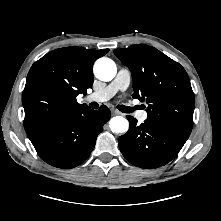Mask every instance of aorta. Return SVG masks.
I'll return each mask as SVG.
<instances>
[{"label": "aorta", "instance_id": "obj_1", "mask_svg": "<svg viewBox=\"0 0 221 221\" xmlns=\"http://www.w3.org/2000/svg\"><path fill=\"white\" fill-rule=\"evenodd\" d=\"M117 73L116 64L109 58H100L94 64V74L101 81H111ZM129 128V122L122 116L110 120V129L114 133H124Z\"/></svg>", "mask_w": 221, "mask_h": 221}]
</instances>
